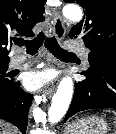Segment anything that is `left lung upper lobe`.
<instances>
[{"label": "left lung upper lobe", "instance_id": "1", "mask_svg": "<svg viewBox=\"0 0 116 134\" xmlns=\"http://www.w3.org/2000/svg\"><path fill=\"white\" fill-rule=\"evenodd\" d=\"M76 2L83 7L84 18L71 29L69 36L81 38L90 50L88 69L92 68L94 62H116V0H76Z\"/></svg>", "mask_w": 116, "mask_h": 134}]
</instances>
